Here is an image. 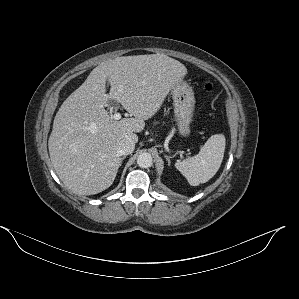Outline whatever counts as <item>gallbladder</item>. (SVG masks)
<instances>
[{
    "instance_id": "1",
    "label": "gallbladder",
    "mask_w": 299,
    "mask_h": 299,
    "mask_svg": "<svg viewBox=\"0 0 299 299\" xmlns=\"http://www.w3.org/2000/svg\"><path fill=\"white\" fill-rule=\"evenodd\" d=\"M109 104L114 106V107H117V103L115 101H109Z\"/></svg>"
}]
</instances>
